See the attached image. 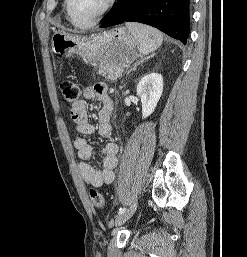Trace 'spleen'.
Instances as JSON below:
<instances>
[{
    "instance_id": "spleen-1",
    "label": "spleen",
    "mask_w": 247,
    "mask_h": 257,
    "mask_svg": "<svg viewBox=\"0 0 247 257\" xmlns=\"http://www.w3.org/2000/svg\"><path fill=\"white\" fill-rule=\"evenodd\" d=\"M126 27L132 32L141 54L146 55L161 46L163 35L157 29L140 23H126Z\"/></svg>"
}]
</instances>
